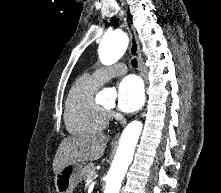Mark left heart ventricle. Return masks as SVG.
I'll return each instance as SVG.
<instances>
[{"mask_svg": "<svg viewBox=\"0 0 221 193\" xmlns=\"http://www.w3.org/2000/svg\"><path fill=\"white\" fill-rule=\"evenodd\" d=\"M112 105H113V100H111V101H109V102H107V103L105 104V106L108 107V108H111Z\"/></svg>", "mask_w": 221, "mask_h": 193, "instance_id": "obj_1", "label": "left heart ventricle"}]
</instances>
